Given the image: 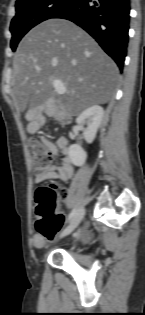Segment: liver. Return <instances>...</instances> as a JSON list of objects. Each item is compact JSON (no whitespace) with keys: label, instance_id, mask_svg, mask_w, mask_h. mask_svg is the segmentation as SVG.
<instances>
[{"label":"liver","instance_id":"1","mask_svg":"<svg viewBox=\"0 0 145 315\" xmlns=\"http://www.w3.org/2000/svg\"><path fill=\"white\" fill-rule=\"evenodd\" d=\"M119 70L83 29L64 19L46 20L30 30L13 60L11 95L19 110L33 119L39 106L51 107L59 118L71 119L90 106L107 103ZM54 80L66 93L55 99Z\"/></svg>","mask_w":145,"mask_h":315}]
</instances>
